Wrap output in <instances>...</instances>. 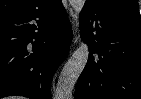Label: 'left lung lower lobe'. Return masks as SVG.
I'll list each match as a JSON object with an SVG mask.
<instances>
[{"label":"left lung lower lobe","mask_w":141,"mask_h":99,"mask_svg":"<svg viewBox=\"0 0 141 99\" xmlns=\"http://www.w3.org/2000/svg\"><path fill=\"white\" fill-rule=\"evenodd\" d=\"M80 27L90 55L75 99H141L139 18L115 16L85 4Z\"/></svg>","instance_id":"obj_1"}]
</instances>
